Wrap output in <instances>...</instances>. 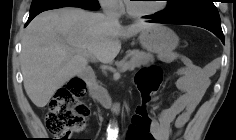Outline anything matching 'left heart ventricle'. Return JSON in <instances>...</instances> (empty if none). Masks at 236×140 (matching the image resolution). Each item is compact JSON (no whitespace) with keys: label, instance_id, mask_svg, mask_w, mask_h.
<instances>
[{"label":"left heart ventricle","instance_id":"b2bd125f","mask_svg":"<svg viewBox=\"0 0 236 140\" xmlns=\"http://www.w3.org/2000/svg\"><path fill=\"white\" fill-rule=\"evenodd\" d=\"M160 5L159 1L156 0H139L131 2L133 9L138 11L152 10Z\"/></svg>","mask_w":236,"mask_h":140}]
</instances>
